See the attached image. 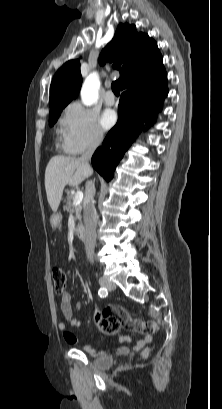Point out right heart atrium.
Listing matches in <instances>:
<instances>
[{"label":"right heart atrium","instance_id":"right-heart-atrium-1","mask_svg":"<svg viewBox=\"0 0 222 409\" xmlns=\"http://www.w3.org/2000/svg\"><path fill=\"white\" fill-rule=\"evenodd\" d=\"M63 146L70 153L98 147L104 133L96 114L79 102L67 106L61 119Z\"/></svg>","mask_w":222,"mask_h":409}]
</instances>
